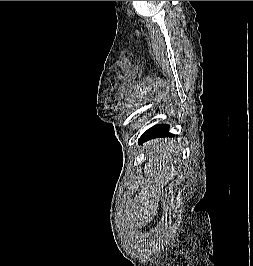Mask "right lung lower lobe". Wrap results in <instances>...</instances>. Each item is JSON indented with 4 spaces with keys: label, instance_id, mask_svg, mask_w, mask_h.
<instances>
[{
    "label": "right lung lower lobe",
    "instance_id": "obj_1",
    "mask_svg": "<svg viewBox=\"0 0 253 266\" xmlns=\"http://www.w3.org/2000/svg\"><path fill=\"white\" fill-rule=\"evenodd\" d=\"M166 135H171L169 133V126L168 125H157L155 127H152L148 129L140 138V142L146 141L149 139H154L157 137H165Z\"/></svg>",
    "mask_w": 253,
    "mask_h": 266
}]
</instances>
